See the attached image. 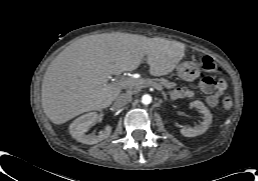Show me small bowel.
Here are the masks:
<instances>
[{"instance_id":"1","label":"small bowel","mask_w":258,"mask_h":181,"mask_svg":"<svg viewBox=\"0 0 258 181\" xmlns=\"http://www.w3.org/2000/svg\"><path fill=\"white\" fill-rule=\"evenodd\" d=\"M202 93L207 95L206 102L210 107H214L226 88L224 80L216 81L212 77H205L199 84ZM194 96V91L190 88H179L174 90L173 97L175 98H191Z\"/></svg>"}]
</instances>
